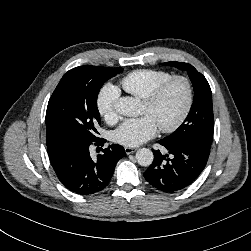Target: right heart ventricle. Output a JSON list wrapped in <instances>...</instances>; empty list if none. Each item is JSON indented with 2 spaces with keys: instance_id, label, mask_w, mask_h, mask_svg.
Wrapping results in <instances>:
<instances>
[{
  "instance_id": "e07e8e85",
  "label": "right heart ventricle",
  "mask_w": 251,
  "mask_h": 251,
  "mask_svg": "<svg viewBox=\"0 0 251 251\" xmlns=\"http://www.w3.org/2000/svg\"><path fill=\"white\" fill-rule=\"evenodd\" d=\"M170 77H172V74L165 70L140 69L125 76L121 81V85L128 93L145 99Z\"/></svg>"
}]
</instances>
